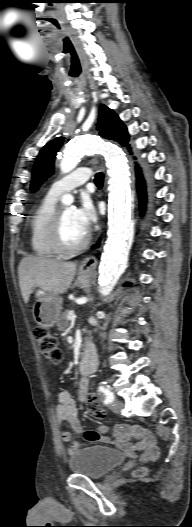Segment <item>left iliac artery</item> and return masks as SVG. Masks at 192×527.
I'll list each match as a JSON object with an SVG mask.
<instances>
[{"label":"left iliac artery","mask_w":192,"mask_h":527,"mask_svg":"<svg viewBox=\"0 0 192 527\" xmlns=\"http://www.w3.org/2000/svg\"><path fill=\"white\" fill-rule=\"evenodd\" d=\"M99 391L105 395V400H104L105 404L108 405V404H110V403H112L114 401V394L111 391L110 386L107 385L105 382H103L99 386Z\"/></svg>","instance_id":"1"}]
</instances>
